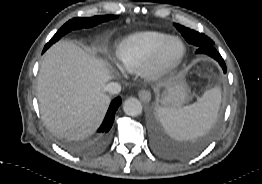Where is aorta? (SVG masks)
Here are the masks:
<instances>
[{"label":"aorta","mask_w":262,"mask_h":184,"mask_svg":"<svg viewBox=\"0 0 262 184\" xmlns=\"http://www.w3.org/2000/svg\"><path fill=\"white\" fill-rule=\"evenodd\" d=\"M123 110L125 114L136 117L142 113V104L137 98H128L123 103Z\"/></svg>","instance_id":"obj_1"}]
</instances>
